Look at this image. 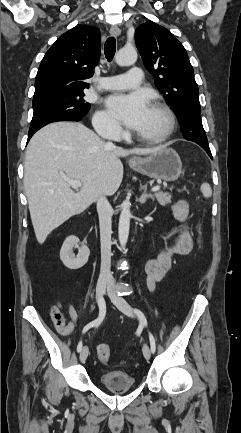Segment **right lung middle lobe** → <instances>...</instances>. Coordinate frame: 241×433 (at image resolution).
Here are the masks:
<instances>
[{
	"label": "right lung middle lobe",
	"mask_w": 241,
	"mask_h": 433,
	"mask_svg": "<svg viewBox=\"0 0 241 433\" xmlns=\"http://www.w3.org/2000/svg\"><path fill=\"white\" fill-rule=\"evenodd\" d=\"M83 92H55L33 97V118L29 133L62 118L82 119L89 111Z\"/></svg>",
	"instance_id": "right-lung-middle-lobe-1"
}]
</instances>
